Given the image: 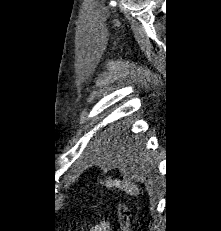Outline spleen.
<instances>
[{
  "mask_svg": "<svg viewBox=\"0 0 221 231\" xmlns=\"http://www.w3.org/2000/svg\"><path fill=\"white\" fill-rule=\"evenodd\" d=\"M106 185L107 186H115L121 190H124L127 194L130 195H137L139 194V189L138 186L135 184H131L130 182H121V181H117V180H107L106 181Z\"/></svg>",
  "mask_w": 221,
  "mask_h": 231,
  "instance_id": "spleen-1",
  "label": "spleen"
}]
</instances>
